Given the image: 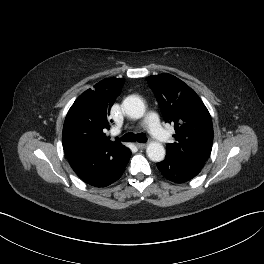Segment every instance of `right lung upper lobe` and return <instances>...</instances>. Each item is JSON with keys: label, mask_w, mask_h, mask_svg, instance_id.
Here are the masks:
<instances>
[{"label": "right lung upper lobe", "mask_w": 264, "mask_h": 264, "mask_svg": "<svg viewBox=\"0 0 264 264\" xmlns=\"http://www.w3.org/2000/svg\"><path fill=\"white\" fill-rule=\"evenodd\" d=\"M123 84L124 79L106 78L75 100L63 126V149L69 161L102 154L119 156L126 148L104 133L110 129V109Z\"/></svg>", "instance_id": "cb5924a9"}]
</instances>
